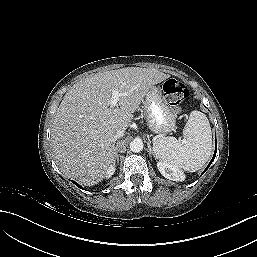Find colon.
Returning <instances> with one entry per match:
<instances>
[{
	"label": "colon",
	"mask_w": 257,
	"mask_h": 257,
	"mask_svg": "<svg viewBox=\"0 0 257 257\" xmlns=\"http://www.w3.org/2000/svg\"><path fill=\"white\" fill-rule=\"evenodd\" d=\"M163 92L176 113L180 112V104L189 97L188 89L175 80L166 81L163 85Z\"/></svg>",
	"instance_id": "1"
}]
</instances>
